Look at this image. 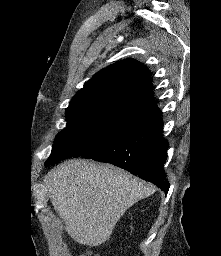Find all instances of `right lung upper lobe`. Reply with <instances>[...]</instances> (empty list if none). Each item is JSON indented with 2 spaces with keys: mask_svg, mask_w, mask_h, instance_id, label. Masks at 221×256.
Here are the masks:
<instances>
[{
  "mask_svg": "<svg viewBox=\"0 0 221 256\" xmlns=\"http://www.w3.org/2000/svg\"><path fill=\"white\" fill-rule=\"evenodd\" d=\"M100 107L144 115L145 122L160 116L149 70L134 59H125L102 69L77 92L66 112Z\"/></svg>",
  "mask_w": 221,
  "mask_h": 256,
  "instance_id": "1",
  "label": "right lung upper lobe"
}]
</instances>
